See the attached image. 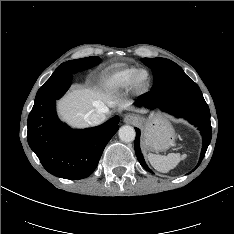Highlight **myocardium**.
<instances>
[{
	"mask_svg": "<svg viewBox=\"0 0 234 234\" xmlns=\"http://www.w3.org/2000/svg\"><path fill=\"white\" fill-rule=\"evenodd\" d=\"M142 73H146L148 75V81L144 86H140L138 83V78ZM151 84H152L151 73L147 69L141 68L138 69L133 75L129 87L135 94H143L150 89Z\"/></svg>",
	"mask_w": 234,
	"mask_h": 234,
	"instance_id": "myocardium-1",
	"label": "myocardium"
}]
</instances>
